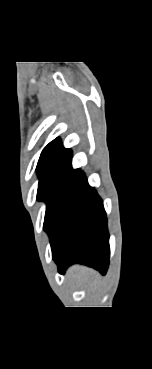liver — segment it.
Masks as SVG:
<instances>
[{
	"label": "liver",
	"instance_id": "1",
	"mask_svg": "<svg viewBox=\"0 0 152 369\" xmlns=\"http://www.w3.org/2000/svg\"><path fill=\"white\" fill-rule=\"evenodd\" d=\"M67 275L70 277H75L77 280L85 286L91 285L98 278V274L87 267L83 266H73L71 267Z\"/></svg>",
	"mask_w": 152,
	"mask_h": 369
}]
</instances>
